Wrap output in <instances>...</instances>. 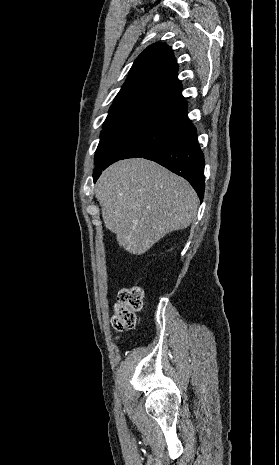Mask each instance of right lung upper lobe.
I'll list each match as a JSON object with an SVG mask.
<instances>
[{"label":"right lung upper lobe","mask_w":279,"mask_h":465,"mask_svg":"<svg viewBox=\"0 0 279 465\" xmlns=\"http://www.w3.org/2000/svg\"><path fill=\"white\" fill-rule=\"evenodd\" d=\"M177 69L167 45L147 47L135 60L103 127L130 122L182 125L188 119L187 103Z\"/></svg>","instance_id":"1"}]
</instances>
